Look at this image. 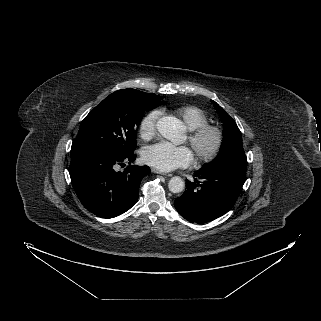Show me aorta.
<instances>
[{"label": "aorta", "mask_w": 321, "mask_h": 321, "mask_svg": "<svg viewBox=\"0 0 321 321\" xmlns=\"http://www.w3.org/2000/svg\"><path fill=\"white\" fill-rule=\"evenodd\" d=\"M158 132L173 143L181 141L184 133L181 122L170 116L162 117L156 124ZM168 188L172 193H180L185 188V182L179 176L172 177L168 182Z\"/></svg>", "instance_id": "obj_1"}]
</instances>
